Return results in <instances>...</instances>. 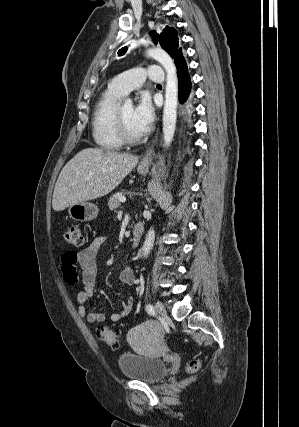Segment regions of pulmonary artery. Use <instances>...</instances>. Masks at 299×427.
<instances>
[{
  "mask_svg": "<svg viewBox=\"0 0 299 427\" xmlns=\"http://www.w3.org/2000/svg\"><path fill=\"white\" fill-rule=\"evenodd\" d=\"M154 82L164 81V70L161 66L154 65L148 68H134L116 76L111 81V86L123 95L143 85L146 79Z\"/></svg>",
  "mask_w": 299,
  "mask_h": 427,
  "instance_id": "e3ab8cb5",
  "label": "pulmonary artery"
}]
</instances>
